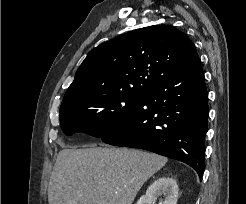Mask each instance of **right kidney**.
<instances>
[{
	"label": "right kidney",
	"instance_id": "ca27d5eb",
	"mask_svg": "<svg viewBox=\"0 0 246 204\" xmlns=\"http://www.w3.org/2000/svg\"><path fill=\"white\" fill-rule=\"evenodd\" d=\"M159 197L163 198V204H177L178 185L173 178L159 177L146 190L136 204H155Z\"/></svg>",
	"mask_w": 246,
	"mask_h": 204
}]
</instances>
